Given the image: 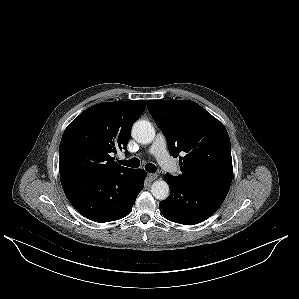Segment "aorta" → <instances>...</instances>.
<instances>
[{"mask_svg":"<svg viewBox=\"0 0 299 299\" xmlns=\"http://www.w3.org/2000/svg\"><path fill=\"white\" fill-rule=\"evenodd\" d=\"M132 136L138 143L149 144L155 138V129L149 121L139 120L133 125ZM169 192V185L164 180H156L151 186V193L157 200H165Z\"/></svg>","mask_w":299,"mask_h":299,"instance_id":"aorta-1","label":"aorta"}]
</instances>
